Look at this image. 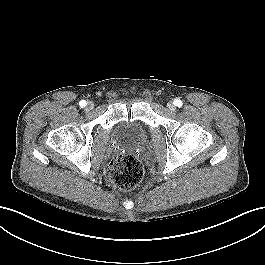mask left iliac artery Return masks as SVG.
Returning <instances> with one entry per match:
<instances>
[{
    "label": "left iliac artery",
    "mask_w": 265,
    "mask_h": 265,
    "mask_svg": "<svg viewBox=\"0 0 265 265\" xmlns=\"http://www.w3.org/2000/svg\"><path fill=\"white\" fill-rule=\"evenodd\" d=\"M174 104H175L176 106H178V107H181V106H182V101L176 99V100L174 101Z\"/></svg>",
    "instance_id": "44dca946"
}]
</instances>
